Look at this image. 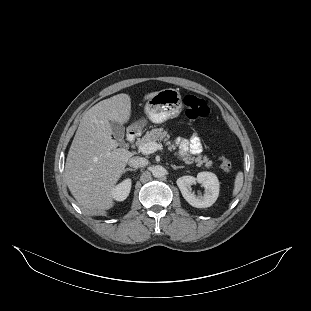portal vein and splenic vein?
Returning a JSON list of instances; mask_svg holds the SVG:
<instances>
[{"mask_svg":"<svg viewBox=\"0 0 311 311\" xmlns=\"http://www.w3.org/2000/svg\"><path fill=\"white\" fill-rule=\"evenodd\" d=\"M137 150L141 152L142 154H151L157 150L164 151L165 148L163 147L162 144L149 142V143L138 144Z\"/></svg>","mask_w":311,"mask_h":311,"instance_id":"1","label":"portal vein and splenic vein"}]
</instances>
